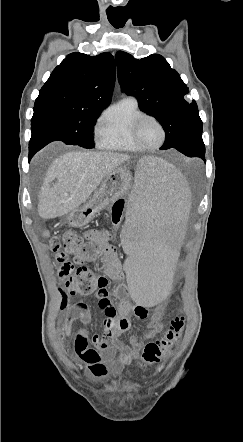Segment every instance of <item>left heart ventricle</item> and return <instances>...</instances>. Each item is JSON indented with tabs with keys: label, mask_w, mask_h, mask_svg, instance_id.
<instances>
[{
	"label": "left heart ventricle",
	"mask_w": 243,
	"mask_h": 442,
	"mask_svg": "<svg viewBox=\"0 0 243 442\" xmlns=\"http://www.w3.org/2000/svg\"><path fill=\"white\" fill-rule=\"evenodd\" d=\"M138 135L141 142L147 146L157 145L162 138L161 129L157 123L150 119L144 120L140 124Z\"/></svg>",
	"instance_id": "obj_1"
}]
</instances>
